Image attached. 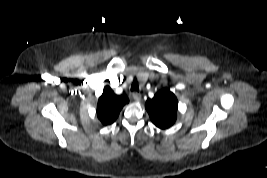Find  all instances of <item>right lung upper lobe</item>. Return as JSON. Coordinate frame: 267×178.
I'll use <instances>...</instances> for the list:
<instances>
[{
	"label": "right lung upper lobe",
	"instance_id": "cb5924a9",
	"mask_svg": "<svg viewBox=\"0 0 267 178\" xmlns=\"http://www.w3.org/2000/svg\"><path fill=\"white\" fill-rule=\"evenodd\" d=\"M128 102L129 99L126 95H116L109 86H105L97 105L99 120L104 125L113 123L123 106Z\"/></svg>",
	"mask_w": 267,
	"mask_h": 178
}]
</instances>
